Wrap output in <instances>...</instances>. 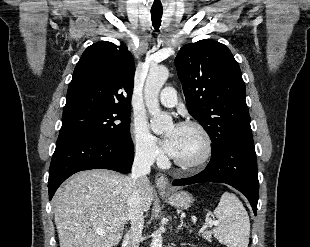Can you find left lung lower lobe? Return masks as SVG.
I'll return each mask as SVG.
<instances>
[{
  "label": "left lung lower lobe",
  "instance_id": "1",
  "mask_svg": "<svg viewBox=\"0 0 310 247\" xmlns=\"http://www.w3.org/2000/svg\"><path fill=\"white\" fill-rule=\"evenodd\" d=\"M199 182H218L235 187L247 197L256 215L259 181L252 137L230 142L212 154L211 161L202 172L190 178L175 180L173 185Z\"/></svg>",
  "mask_w": 310,
  "mask_h": 247
}]
</instances>
